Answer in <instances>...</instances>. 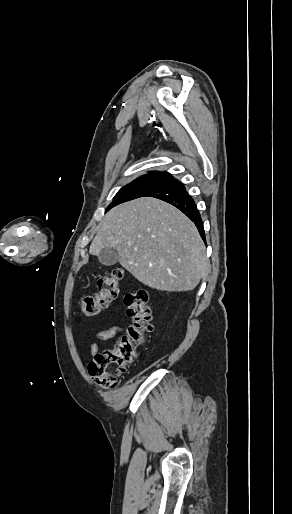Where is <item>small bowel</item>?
<instances>
[{
    "instance_id": "small-bowel-1",
    "label": "small bowel",
    "mask_w": 292,
    "mask_h": 514,
    "mask_svg": "<svg viewBox=\"0 0 292 514\" xmlns=\"http://www.w3.org/2000/svg\"><path fill=\"white\" fill-rule=\"evenodd\" d=\"M124 331L125 330L123 327L114 324L94 333L89 344L90 355L92 357L96 356L98 352V341H107L113 339L119 335H122Z\"/></svg>"
}]
</instances>
